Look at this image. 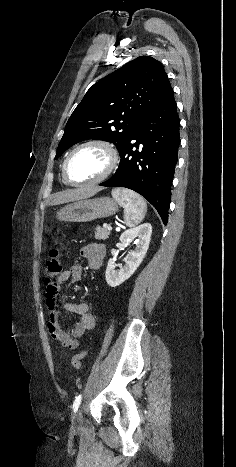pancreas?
Returning <instances> with one entry per match:
<instances>
[{
  "instance_id": "cf45deb5",
  "label": "pancreas",
  "mask_w": 236,
  "mask_h": 467,
  "mask_svg": "<svg viewBox=\"0 0 236 467\" xmlns=\"http://www.w3.org/2000/svg\"><path fill=\"white\" fill-rule=\"evenodd\" d=\"M95 230H96L95 238L98 240H106L110 236V232L107 231L106 228L97 226Z\"/></svg>"
}]
</instances>
